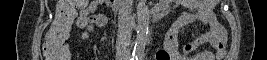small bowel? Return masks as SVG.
<instances>
[{"label": "small bowel", "instance_id": "obj_1", "mask_svg": "<svg viewBox=\"0 0 267 60\" xmlns=\"http://www.w3.org/2000/svg\"><path fill=\"white\" fill-rule=\"evenodd\" d=\"M103 0H95L87 3L85 6L78 7L79 16L77 22L83 21L85 27L81 33V39L87 40L93 32L95 26H103L106 23L105 15L96 13L98 6L104 5ZM179 4L186 10L172 24L164 39V49L149 56L154 60H215L222 59L225 55V46L227 42V32L218 21L214 8L217 5L215 0H174L162 1L159 5L169 8L172 5ZM202 22L209 26V31L203 33L190 42L179 48L178 35L187 25L194 22ZM209 44L211 50L196 52L199 46Z\"/></svg>", "mask_w": 267, "mask_h": 60}]
</instances>
